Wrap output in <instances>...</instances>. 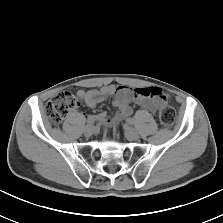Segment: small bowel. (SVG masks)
Listing matches in <instances>:
<instances>
[{"label": "small bowel", "instance_id": "obj_1", "mask_svg": "<svg viewBox=\"0 0 223 223\" xmlns=\"http://www.w3.org/2000/svg\"><path fill=\"white\" fill-rule=\"evenodd\" d=\"M77 96L89 108H95L96 105L110 96L113 98V106L117 108V112L112 118H107L105 112H100L94 117L100 125L114 127L122 120L132 114L131 103H135L141 108L154 112L165 97V95L154 87H135L116 86L113 84L105 85L98 89L79 90Z\"/></svg>", "mask_w": 223, "mask_h": 223}]
</instances>
